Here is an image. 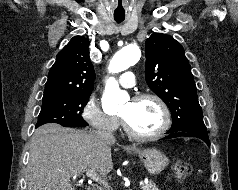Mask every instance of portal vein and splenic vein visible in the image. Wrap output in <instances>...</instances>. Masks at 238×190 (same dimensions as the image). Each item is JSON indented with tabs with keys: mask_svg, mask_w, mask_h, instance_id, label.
Segmentation results:
<instances>
[{
	"mask_svg": "<svg viewBox=\"0 0 238 190\" xmlns=\"http://www.w3.org/2000/svg\"><path fill=\"white\" fill-rule=\"evenodd\" d=\"M86 176L91 178V179H93V180H95V181H97V182H99V183H101V184H103L104 186H108L107 182L104 179H102L101 176L98 175L93 170L86 171ZM144 184H145L144 182H140L139 183V185L142 186V187L144 186Z\"/></svg>",
	"mask_w": 238,
	"mask_h": 190,
	"instance_id": "obj_1",
	"label": "portal vein and splenic vein"
}]
</instances>
